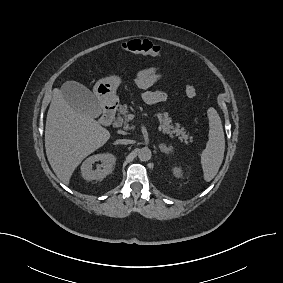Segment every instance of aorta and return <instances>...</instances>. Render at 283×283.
<instances>
[{"label": "aorta", "instance_id": "1", "mask_svg": "<svg viewBox=\"0 0 283 283\" xmlns=\"http://www.w3.org/2000/svg\"><path fill=\"white\" fill-rule=\"evenodd\" d=\"M151 150L147 147H143L138 151V157L141 161H148L151 159Z\"/></svg>", "mask_w": 283, "mask_h": 283}]
</instances>
